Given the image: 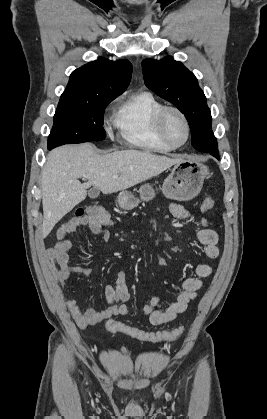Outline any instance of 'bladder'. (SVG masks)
Listing matches in <instances>:
<instances>
[{
  "label": "bladder",
  "mask_w": 267,
  "mask_h": 419,
  "mask_svg": "<svg viewBox=\"0 0 267 419\" xmlns=\"http://www.w3.org/2000/svg\"><path fill=\"white\" fill-rule=\"evenodd\" d=\"M120 353H121L122 356H125V357H130L131 356V353L127 349H122L120 351Z\"/></svg>",
  "instance_id": "bladder-1"
}]
</instances>
